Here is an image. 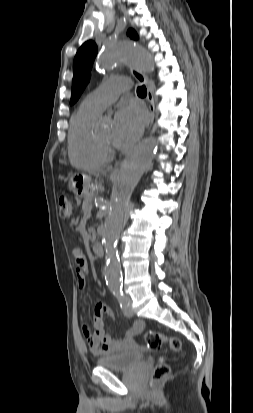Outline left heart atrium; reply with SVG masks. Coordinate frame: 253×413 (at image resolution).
<instances>
[{
  "mask_svg": "<svg viewBox=\"0 0 253 413\" xmlns=\"http://www.w3.org/2000/svg\"><path fill=\"white\" fill-rule=\"evenodd\" d=\"M145 125V114L137 105L121 107L115 116L113 142L118 147H128L141 135Z\"/></svg>",
  "mask_w": 253,
  "mask_h": 413,
  "instance_id": "obj_1",
  "label": "left heart atrium"
}]
</instances>
